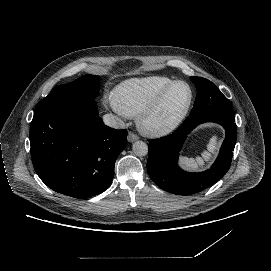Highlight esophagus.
<instances>
[{"instance_id": "34e87169", "label": "esophagus", "mask_w": 271, "mask_h": 271, "mask_svg": "<svg viewBox=\"0 0 271 271\" xmlns=\"http://www.w3.org/2000/svg\"><path fill=\"white\" fill-rule=\"evenodd\" d=\"M139 139V136L137 135V134H135L134 132H129L128 133V141L129 142H134V141H136V140H138Z\"/></svg>"}]
</instances>
